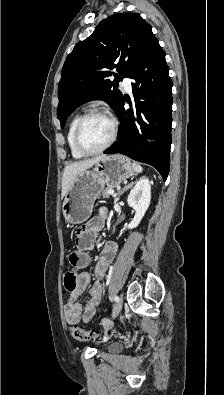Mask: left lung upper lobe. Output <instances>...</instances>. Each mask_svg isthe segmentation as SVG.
<instances>
[{"instance_id":"1","label":"left lung upper lobe","mask_w":224,"mask_h":395,"mask_svg":"<svg viewBox=\"0 0 224 395\" xmlns=\"http://www.w3.org/2000/svg\"><path fill=\"white\" fill-rule=\"evenodd\" d=\"M156 40L138 13H118L102 20L87 39L78 42L66 58L58 87L61 128L78 106L91 100H104L116 110L123 95L115 82L128 76ZM114 68L117 74L109 71ZM111 75L114 81L108 79Z\"/></svg>"}]
</instances>
